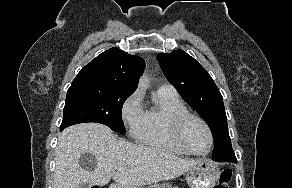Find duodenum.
Masks as SVG:
<instances>
[{
    "mask_svg": "<svg viewBox=\"0 0 292 188\" xmlns=\"http://www.w3.org/2000/svg\"><path fill=\"white\" fill-rule=\"evenodd\" d=\"M111 188H119V187H117V186H112Z\"/></svg>",
    "mask_w": 292,
    "mask_h": 188,
    "instance_id": "obj_1",
    "label": "duodenum"
}]
</instances>
